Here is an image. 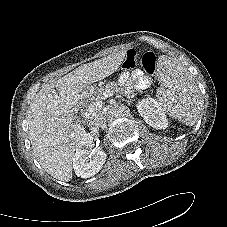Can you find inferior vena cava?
<instances>
[{"label":"inferior vena cava","mask_w":227,"mask_h":227,"mask_svg":"<svg viewBox=\"0 0 227 227\" xmlns=\"http://www.w3.org/2000/svg\"><path fill=\"white\" fill-rule=\"evenodd\" d=\"M106 113L101 111V112H98V113H95L94 115H92L90 117V120H89V127L91 129H94V130H97L101 127H104L105 126V122H106Z\"/></svg>","instance_id":"1"}]
</instances>
